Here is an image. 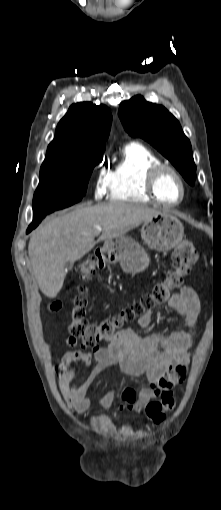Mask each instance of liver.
<instances>
[{"label": "liver", "mask_w": 221, "mask_h": 510, "mask_svg": "<svg viewBox=\"0 0 221 510\" xmlns=\"http://www.w3.org/2000/svg\"><path fill=\"white\" fill-rule=\"evenodd\" d=\"M161 212L143 205L110 202L47 219L32 234L28 254L30 268L41 292L55 298L66 276L65 264H74L98 241L125 235ZM101 228V231L98 229Z\"/></svg>", "instance_id": "liver-1"}]
</instances>
